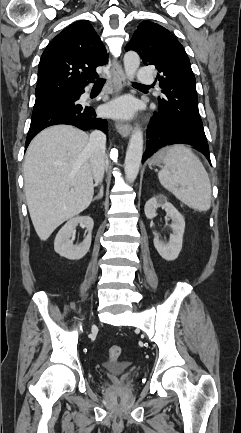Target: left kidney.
<instances>
[{
	"label": "left kidney",
	"mask_w": 241,
	"mask_h": 433,
	"mask_svg": "<svg viewBox=\"0 0 241 433\" xmlns=\"http://www.w3.org/2000/svg\"><path fill=\"white\" fill-rule=\"evenodd\" d=\"M160 207L166 211L167 216L172 220L170 227L173 233L170 235L168 243H164L160 240L157 234L155 235L153 242L156 250L163 259L173 261L177 259L182 249L185 220L179 211L169 203L167 198L162 194L157 195L146 202L144 208L146 217L148 219L156 217V210Z\"/></svg>",
	"instance_id": "left-kidney-1"
}]
</instances>
